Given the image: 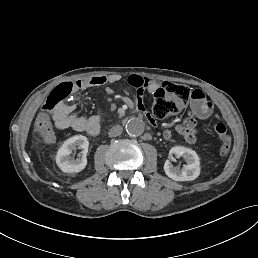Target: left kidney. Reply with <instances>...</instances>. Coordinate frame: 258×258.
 Instances as JSON below:
<instances>
[{
	"instance_id": "obj_1",
	"label": "left kidney",
	"mask_w": 258,
	"mask_h": 258,
	"mask_svg": "<svg viewBox=\"0 0 258 258\" xmlns=\"http://www.w3.org/2000/svg\"><path fill=\"white\" fill-rule=\"evenodd\" d=\"M175 155L177 158L183 157L186 165L180 170L174 167L169 160L164 163L166 175L175 181H191L200 174V159L197 153L184 146H174L169 151V156Z\"/></svg>"
}]
</instances>
